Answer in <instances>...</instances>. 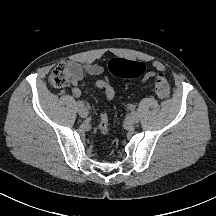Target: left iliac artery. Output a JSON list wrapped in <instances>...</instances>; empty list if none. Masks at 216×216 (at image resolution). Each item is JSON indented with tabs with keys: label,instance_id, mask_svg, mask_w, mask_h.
<instances>
[{
	"label": "left iliac artery",
	"instance_id": "obj_1",
	"mask_svg": "<svg viewBox=\"0 0 216 216\" xmlns=\"http://www.w3.org/2000/svg\"><path fill=\"white\" fill-rule=\"evenodd\" d=\"M135 108H136V106H135L134 104H131V105L129 106V109H130L131 111L135 110Z\"/></svg>",
	"mask_w": 216,
	"mask_h": 216
}]
</instances>
